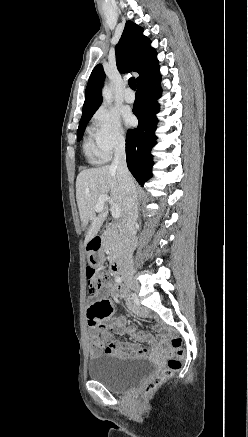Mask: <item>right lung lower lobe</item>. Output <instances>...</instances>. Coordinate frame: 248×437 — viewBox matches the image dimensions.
Instances as JSON below:
<instances>
[{
	"mask_svg": "<svg viewBox=\"0 0 248 437\" xmlns=\"http://www.w3.org/2000/svg\"><path fill=\"white\" fill-rule=\"evenodd\" d=\"M160 81L157 65L137 82L133 112L139 125L135 129H129L126 136L127 166L141 186L152 176L151 149L156 144L154 131L158 120L155 114L159 111L156 100L161 96Z\"/></svg>",
	"mask_w": 248,
	"mask_h": 437,
	"instance_id": "1",
	"label": "right lung lower lobe"
}]
</instances>
